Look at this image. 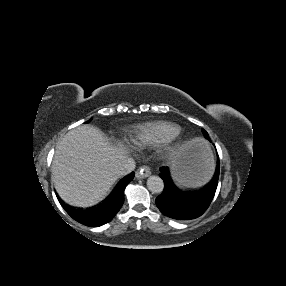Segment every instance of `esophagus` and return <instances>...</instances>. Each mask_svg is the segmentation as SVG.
I'll list each match as a JSON object with an SVG mask.
<instances>
[{
	"label": "esophagus",
	"instance_id": "34e87169",
	"mask_svg": "<svg viewBox=\"0 0 286 286\" xmlns=\"http://www.w3.org/2000/svg\"><path fill=\"white\" fill-rule=\"evenodd\" d=\"M151 175V170L148 166H144L136 172L137 178H146Z\"/></svg>",
	"mask_w": 286,
	"mask_h": 286
}]
</instances>
